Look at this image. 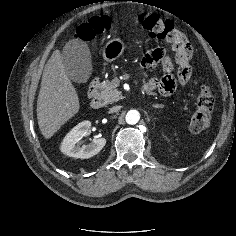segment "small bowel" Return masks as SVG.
<instances>
[{
  "instance_id": "c3829d8e",
  "label": "small bowel",
  "mask_w": 236,
  "mask_h": 236,
  "mask_svg": "<svg viewBox=\"0 0 236 236\" xmlns=\"http://www.w3.org/2000/svg\"><path fill=\"white\" fill-rule=\"evenodd\" d=\"M193 55V49L188 43L180 52H176V63L178 65L177 77L172 73L173 62L163 48H156L147 54L141 60L142 67L151 69L156 65H159L162 71L160 78H151L142 87L143 91L148 93L153 90H158L163 96L171 95L178 84H185L191 77V59ZM187 77V81L184 83L183 77Z\"/></svg>"
}]
</instances>
